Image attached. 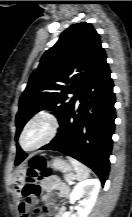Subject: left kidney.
Returning <instances> with one entry per match:
<instances>
[{"instance_id":"1","label":"left kidney","mask_w":132,"mask_h":217,"mask_svg":"<svg viewBox=\"0 0 132 217\" xmlns=\"http://www.w3.org/2000/svg\"><path fill=\"white\" fill-rule=\"evenodd\" d=\"M101 184L98 179H87L78 183L70 194V202L79 200L76 212H65L62 217H87L95 204Z\"/></svg>"}]
</instances>
